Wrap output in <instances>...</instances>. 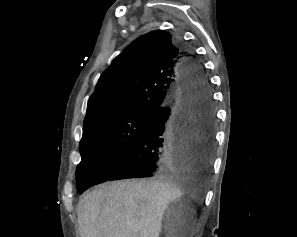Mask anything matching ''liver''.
<instances>
[{
	"label": "liver",
	"mask_w": 297,
	"mask_h": 237,
	"mask_svg": "<svg viewBox=\"0 0 297 237\" xmlns=\"http://www.w3.org/2000/svg\"><path fill=\"white\" fill-rule=\"evenodd\" d=\"M186 191L192 182L178 174L102 184L78 204L81 237H159L165 209Z\"/></svg>",
	"instance_id": "liver-1"
}]
</instances>
